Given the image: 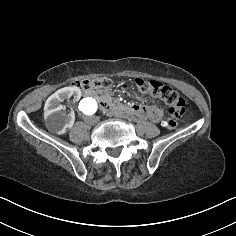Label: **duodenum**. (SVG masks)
Here are the masks:
<instances>
[{
	"instance_id": "410a0bca",
	"label": "duodenum",
	"mask_w": 236,
	"mask_h": 236,
	"mask_svg": "<svg viewBox=\"0 0 236 236\" xmlns=\"http://www.w3.org/2000/svg\"><path fill=\"white\" fill-rule=\"evenodd\" d=\"M83 94L88 97H96L99 99L101 109L104 113L115 116H133L136 113L134 106H128L124 104L112 103L98 95L95 90L87 89L83 91Z\"/></svg>"
}]
</instances>
